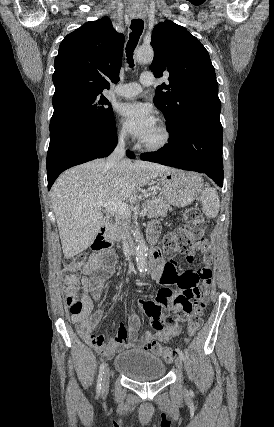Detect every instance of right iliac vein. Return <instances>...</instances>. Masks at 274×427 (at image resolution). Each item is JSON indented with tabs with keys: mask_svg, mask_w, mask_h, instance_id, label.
Here are the masks:
<instances>
[{
	"mask_svg": "<svg viewBox=\"0 0 274 427\" xmlns=\"http://www.w3.org/2000/svg\"><path fill=\"white\" fill-rule=\"evenodd\" d=\"M111 373L109 368H107L104 372L103 379H102V392L107 393L109 388V381H110Z\"/></svg>",
	"mask_w": 274,
	"mask_h": 427,
	"instance_id": "obj_1",
	"label": "right iliac vein"
}]
</instances>
